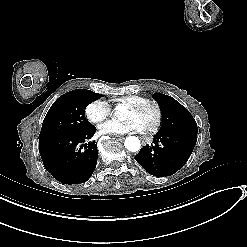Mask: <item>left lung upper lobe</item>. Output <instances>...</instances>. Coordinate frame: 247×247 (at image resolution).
Masks as SVG:
<instances>
[{"instance_id": "1", "label": "left lung upper lobe", "mask_w": 247, "mask_h": 247, "mask_svg": "<svg viewBox=\"0 0 247 247\" xmlns=\"http://www.w3.org/2000/svg\"><path fill=\"white\" fill-rule=\"evenodd\" d=\"M162 109V126L158 132L198 133L196 121L190 112L174 98L162 93L153 94Z\"/></svg>"}]
</instances>
